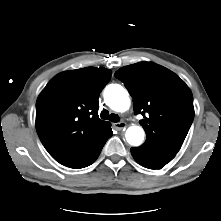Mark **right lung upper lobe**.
<instances>
[{
	"instance_id": "1",
	"label": "right lung upper lobe",
	"mask_w": 221,
	"mask_h": 221,
	"mask_svg": "<svg viewBox=\"0 0 221 221\" xmlns=\"http://www.w3.org/2000/svg\"><path fill=\"white\" fill-rule=\"evenodd\" d=\"M106 68L86 67L52 78L36 102V130L49 154L63 164L109 127L98 116L99 94L111 78Z\"/></svg>"
}]
</instances>
